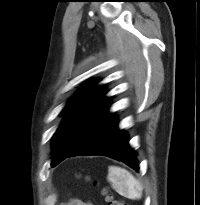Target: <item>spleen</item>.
<instances>
[{"label": "spleen", "instance_id": "3e777b00", "mask_svg": "<svg viewBox=\"0 0 200 205\" xmlns=\"http://www.w3.org/2000/svg\"><path fill=\"white\" fill-rule=\"evenodd\" d=\"M107 179L120 195L129 199H140L142 197L141 183L126 169L109 166Z\"/></svg>", "mask_w": 200, "mask_h": 205}]
</instances>
